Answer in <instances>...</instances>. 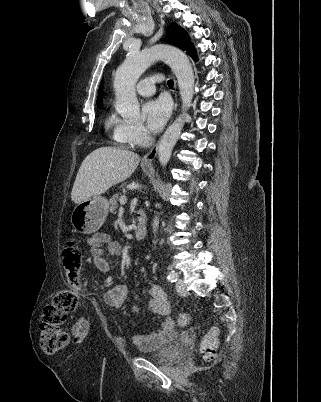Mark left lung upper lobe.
<instances>
[{
	"label": "left lung upper lobe",
	"mask_w": 321,
	"mask_h": 402,
	"mask_svg": "<svg viewBox=\"0 0 321 402\" xmlns=\"http://www.w3.org/2000/svg\"><path fill=\"white\" fill-rule=\"evenodd\" d=\"M167 38L172 45L186 50L188 54L193 50L192 45L189 44V37L187 33L176 24L169 25L167 30Z\"/></svg>",
	"instance_id": "left-lung-upper-lobe-1"
}]
</instances>
